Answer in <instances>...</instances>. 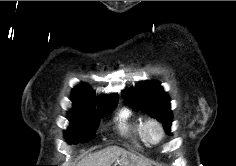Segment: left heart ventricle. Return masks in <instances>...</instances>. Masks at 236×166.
Masks as SVG:
<instances>
[{
  "label": "left heart ventricle",
  "instance_id": "obj_1",
  "mask_svg": "<svg viewBox=\"0 0 236 166\" xmlns=\"http://www.w3.org/2000/svg\"><path fill=\"white\" fill-rule=\"evenodd\" d=\"M151 136L155 138L157 136V130L155 128L150 129Z\"/></svg>",
  "mask_w": 236,
  "mask_h": 166
}]
</instances>
